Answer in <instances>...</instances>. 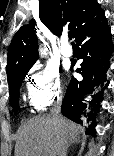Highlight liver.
I'll list each match as a JSON object with an SVG mask.
<instances>
[{
	"instance_id": "6515ba94",
	"label": "liver",
	"mask_w": 114,
	"mask_h": 156,
	"mask_svg": "<svg viewBox=\"0 0 114 156\" xmlns=\"http://www.w3.org/2000/svg\"><path fill=\"white\" fill-rule=\"evenodd\" d=\"M81 131L80 126L62 116L33 117L18 130L15 156H58L62 145H68Z\"/></svg>"
}]
</instances>
